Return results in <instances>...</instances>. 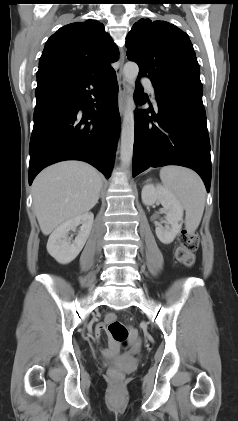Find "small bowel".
Wrapping results in <instances>:
<instances>
[{"instance_id":"c3829d8e","label":"small bowel","mask_w":238,"mask_h":421,"mask_svg":"<svg viewBox=\"0 0 238 421\" xmlns=\"http://www.w3.org/2000/svg\"><path fill=\"white\" fill-rule=\"evenodd\" d=\"M109 316H111V315H109ZM108 316V317H109ZM107 317V318H108ZM107 320V319H106ZM105 324H106V321L104 322V323H99L98 325H97V327H96V330H95V333H96V336L97 337H99L100 336V334H101V332L105 329Z\"/></svg>"}]
</instances>
